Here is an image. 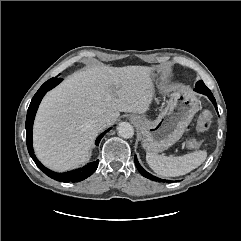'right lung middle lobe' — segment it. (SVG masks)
I'll return each mask as SVG.
<instances>
[{"label":"right lung middle lobe","mask_w":241,"mask_h":241,"mask_svg":"<svg viewBox=\"0 0 241 241\" xmlns=\"http://www.w3.org/2000/svg\"><path fill=\"white\" fill-rule=\"evenodd\" d=\"M54 79H56V78H53V80L51 81V82H55V80ZM62 80H59V82L58 83H60Z\"/></svg>","instance_id":"right-lung-middle-lobe-1"}]
</instances>
